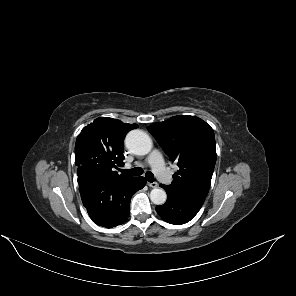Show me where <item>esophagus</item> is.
Instances as JSON below:
<instances>
[{
  "mask_svg": "<svg viewBox=\"0 0 296 296\" xmlns=\"http://www.w3.org/2000/svg\"><path fill=\"white\" fill-rule=\"evenodd\" d=\"M148 186L151 188H156L158 186L157 182H147Z\"/></svg>",
  "mask_w": 296,
  "mask_h": 296,
  "instance_id": "34e87169",
  "label": "esophagus"
}]
</instances>
